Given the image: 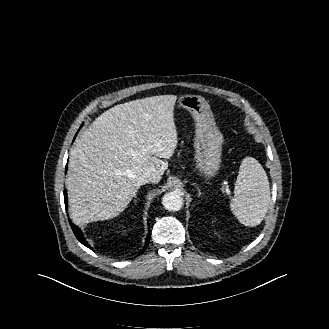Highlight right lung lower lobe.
I'll return each mask as SVG.
<instances>
[{"label":"right lung lower lobe","mask_w":329,"mask_h":329,"mask_svg":"<svg viewBox=\"0 0 329 329\" xmlns=\"http://www.w3.org/2000/svg\"><path fill=\"white\" fill-rule=\"evenodd\" d=\"M66 167H67V165H66ZM66 171H67V168H66ZM64 201H65V205H66V207H67V193H66V190L64 191ZM69 223H70V226H71V228H72V230H73V232H74L76 238H77L82 244H84V245L87 246L88 248L92 249L91 246L88 245V243L86 242L85 237L83 236L81 230H80L77 226L73 225V224L70 222V220H69ZM149 231H150V229H149ZM149 239H150V236L148 235L147 238H146V243H145V246H144V249L142 250V252H144V251L146 250V248H147V246H148V243H149ZM142 252H141V253H142Z\"/></svg>","instance_id":"obj_1"}]
</instances>
